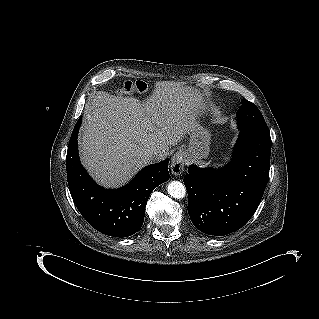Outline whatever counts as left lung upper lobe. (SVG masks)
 Returning a JSON list of instances; mask_svg holds the SVG:
<instances>
[{
    "label": "left lung upper lobe",
    "instance_id": "obj_1",
    "mask_svg": "<svg viewBox=\"0 0 319 319\" xmlns=\"http://www.w3.org/2000/svg\"><path fill=\"white\" fill-rule=\"evenodd\" d=\"M237 119L241 131L269 133L259 109L246 99H242V105L237 111Z\"/></svg>",
    "mask_w": 319,
    "mask_h": 319
}]
</instances>
